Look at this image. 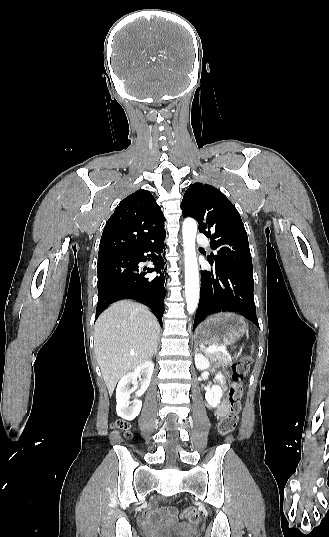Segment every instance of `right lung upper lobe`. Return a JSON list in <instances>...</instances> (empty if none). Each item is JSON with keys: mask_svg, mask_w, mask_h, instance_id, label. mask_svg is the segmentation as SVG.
Returning <instances> with one entry per match:
<instances>
[{"mask_svg": "<svg viewBox=\"0 0 329 537\" xmlns=\"http://www.w3.org/2000/svg\"><path fill=\"white\" fill-rule=\"evenodd\" d=\"M165 218L148 190L123 199L107 221L99 244L98 259L124 255L165 235Z\"/></svg>", "mask_w": 329, "mask_h": 537, "instance_id": "cb5924a9", "label": "right lung upper lobe"}]
</instances>
